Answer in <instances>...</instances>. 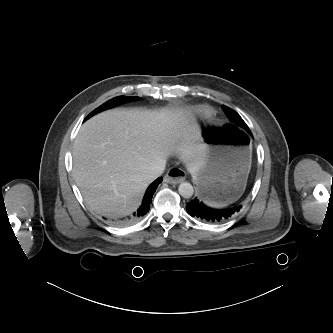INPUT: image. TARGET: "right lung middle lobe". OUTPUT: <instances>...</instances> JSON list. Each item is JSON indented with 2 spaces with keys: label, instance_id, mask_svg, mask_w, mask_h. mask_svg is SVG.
Returning a JSON list of instances; mask_svg holds the SVG:
<instances>
[{
  "label": "right lung middle lobe",
  "instance_id": "dd1d6c3e",
  "mask_svg": "<svg viewBox=\"0 0 333 333\" xmlns=\"http://www.w3.org/2000/svg\"><path fill=\"white\" fill-rule=\"evenodd\" d=\"M138 97L136 96H118V97H115L111 100H109L108 102L104 103L103 105H101L100 107L96 108L94 111H92L87 117L85 120H87L88 118H90L91 116L103 111V110H106V109H109V108H112L116 105H119V104H122V103H125V102H130V101H134L136 100Z\"/></svg>",
  "mask_w": 333,
  "mask_h": 333
}]
</instances>
